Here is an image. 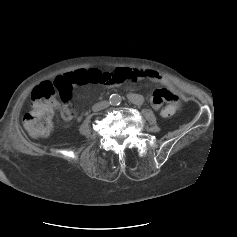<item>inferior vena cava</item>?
<instances>
[{"label": "inferior vena cava", "instance_id": "602c4592", "mask_svg": "<svg viewBox=\"0 0 237 237\" xmlns=\"http://www.w3.org/2000/svg\"><path fill=\"white\" fill-rule=\"evenodd\" d=\"M108 106H109V103L107 101H101V102L94 104V106L92 107V110L99 111V110H102Z\"/></svg>", "mask_w": 237, "mask_h": 237}]
</instances>
